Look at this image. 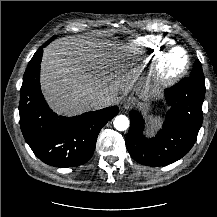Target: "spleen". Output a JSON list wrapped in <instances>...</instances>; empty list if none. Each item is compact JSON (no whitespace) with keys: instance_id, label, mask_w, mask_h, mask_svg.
<instances>
[{"instance_id":"1","label":"spleen","mask_w":217,"mask_h":217,"mask_svg":"<svg viewBox=\"0 0 217 217\" xmlns=\"http://www.w3.org/2000/svg\"><path fill=\"white\" fill-rule=\"evenodd\" d=\"M159 121H160V117H156L155 123L152 124V128H158L160 124Z\"/></svg>"}]
</instances>
